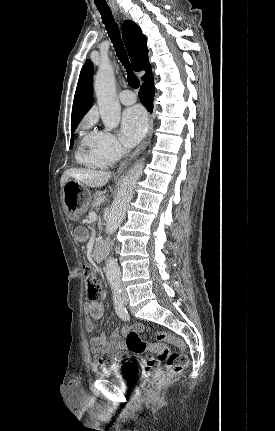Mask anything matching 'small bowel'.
I'll return each instance as SVG.
<instances>
[{
    "label": "small bowel",
    "instance_id": "small-bowel-1",
    "mask_svg": "<svg viewBox=\"0 0 275 431\" xmlns=\"http://www.w3.org/2000/svg\"><path fill=\"white\" fill-rule=\"evenodd\" d=\"M74 237L77 241L84 242L87 240L88 235L84 229L78 228L74 232ZM103 310V305L99 301H91L85 306V327L88 333L93 334L96 327L95 322L102 317ZM143 328L140 324L135 326V330L138 332H141ZM90 351L98 358L102 355H108L111 362H117L125 351V344L118 331H114L110 336L102 332L99 335L90 337ZM97 365L106 366L100 364L99 359L97 360Z\"/></svg>",
    "mask_w": 275,
    "mask_h": 431
}]
</instances>
